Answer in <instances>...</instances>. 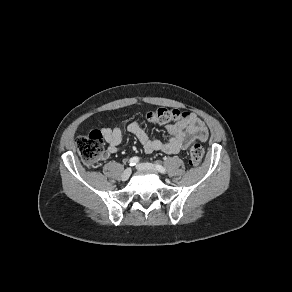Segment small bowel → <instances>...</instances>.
Returning <instances> with one entry per match:
<instances>
[{
    "label": "small bowel",
    "mask_w": 292,
    "mask_h": 292,
    "mask_svg": "<svg viewBox=\"0 0 292 292\" xmlns=\"http://www.w3.org/2000/svg\"><path fill=\"white\" fill-rule=\"evenodd\" d=\"M157 123L165 126L169 134L167 141L150 138L138 121L127 126L128 132L137 138L147 154L155 151L175 154L186 149L194 140H207L209 135L204 122L192 112H181L177 119ZM101 133L108 144L104 157L117 153L122 143V130L118 127L103 128Z\"/></svg>",
    "instance_id": "small-bowel-1"
}]
</instances>
